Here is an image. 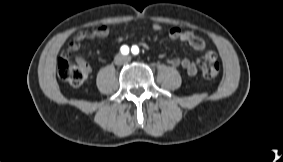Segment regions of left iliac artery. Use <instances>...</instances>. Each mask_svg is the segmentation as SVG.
<instances>
[{
    "label": "left iliac artery",
    "instance_id": "44dca946",
    "mask_svg": "<svg viewBox=\"0 0 283 162\" xmlns=\"http://www.w3.org/2000/svg\"><path fill=\"white\" fill-rule=\"evenodd\" d=\"M131 51H132L133 54L136 55V54H138V52H139V48H138L137 46H133L132 49H131Z\"/></svg>",
    "mask_w": 283,
    "mask_h": 162
}]
</instances>
